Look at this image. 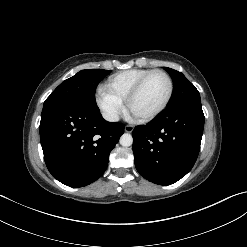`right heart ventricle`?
Returning a JSON list of instances; mask_svg holds the SVG:
<instances>
[{
  "label": "right heart ventricle",
  "mask_w": 247,
  "mask_h": 247,
  "mask_svg": "<svg viewBox=\"0 0 247 247\" xmlns=\"http://www.w3.org/2000/svg\"><path fill=\"white\" fill-rule=\"evenodd\" d=\"M150 71L149 69H131L116 73L109 77L105 88L124 102L136 83Z\"/></svg>",
  "instance_id": "right-heart-ventricle-1"
}]
</instances>
